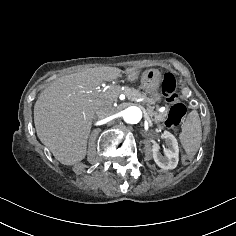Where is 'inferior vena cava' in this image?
<instances>
[{
    "instance_id": "1",
    "label": "inferior vena cava",
    "mask_w": 236,
    "mask_h": 236,
    "mask_svg": "<svg viewBox=\"0 0 236 236\" xmlns=\"http://www.w3.org/2000/svg\"><path fill=\"white\" fill-rule=\"evenodd\" d=\"M92 115H93V117L98 118V117H100L101 112H100V110L95 109V110H93Z\"/></svg>"
}]
</instances>
